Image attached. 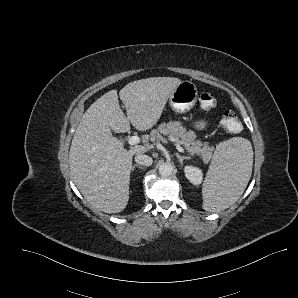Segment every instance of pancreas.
<instances>
[{
  "label": "pancreas",
  "mask_w": 298,
  "mask_h": 298,
  "mask_svg": "<svg viewBox=\"0 0 298 298\" xmlns=\"http://www.w3.org/2000/svg\"><path fill=\"white\" fill-rule=\"evenodd\" d=\"M168 138H174L176 143L182 145L191 155L199 156L204 164H208L213 156L215 147L210 146L209 142L197 139V135L192 130H187L179 120L163 122L157 129L151 131L154 141L165 142Z\"/></svg>",
  "instance_id": "pancreas-1"
}]
</instances>
